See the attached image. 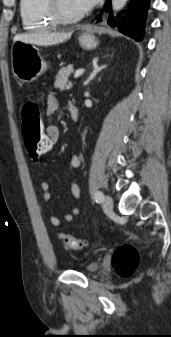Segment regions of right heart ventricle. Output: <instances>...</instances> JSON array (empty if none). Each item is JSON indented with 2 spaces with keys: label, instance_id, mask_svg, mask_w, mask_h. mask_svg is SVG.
<instances>
[{
  "label": "right heart ventricle",
  "instance_id": "1",
  "mask_svg": "<svg viewBox=\"0 0 171 337\" xmlns=\"http://www.w3.org/2000/svg\"><path fill=\"white\" fill-rule=\"evenodd\" d=\"M20 16L27 30H44L58 23L51 16L47 0H20Z\"/></svg>",
  "mask_w": 171,
  "mask_h": 337
}]
</instances>
